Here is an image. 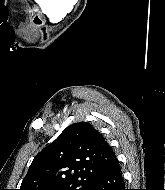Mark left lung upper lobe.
I'll list each match as a JSON object with an SVG mask.
<instances>
[{
	"instance_id": "left-lung-upper-lobe-1",
	"label": "left lung upper lobe",
	"mask_w": 165,
	"mask_h": 190,
	"mask_svg": "<svg viewBox=\"0 0 165 190\" xmlns=\"http://www.w3.org/2000/svg\"><path fill=\"white\" fill-rule=\"evenodd\" d=\"M116 155L86 122L68 126L32 161L19 190H90Z\"/></svg>"
}]
</instances>
